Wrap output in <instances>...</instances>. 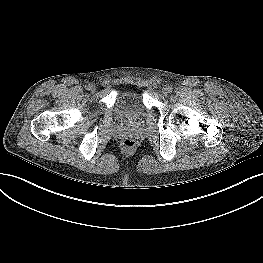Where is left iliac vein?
Returning <instances> with one entry per match:
<instances>
[{"mask_svg": "<svg viewBox=\"0 0 263 263\" xmlns=\"http://www.w3.org/2000/svg\"><path fill=\"white\" fill-rule=\"evenodd\" d=\"M162 92H163L164 95H167L169 93V90H168L167 87H164Z\"/></svg>", "mask_w": 263, "mask_h": 263, "instance_id": "4c4485c4", "label": "left iliac vein"}]
</instances>
